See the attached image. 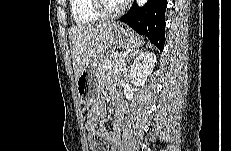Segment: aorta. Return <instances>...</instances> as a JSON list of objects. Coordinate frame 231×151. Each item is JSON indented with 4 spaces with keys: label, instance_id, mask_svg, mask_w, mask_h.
Instances as JSON below:
<instances>
[{
    "label": "aorta",
    "instance_id": "aorta-1",
    "mask_svg": "<svg viewBox=\"0 0 231 151\" xmlns=\"http://www.w3.org/2000/svg\"><path fill=\"white\" fill-rule=\"evenodd\" d=\"M147 3V0H137L138 6H144Z\"/></svg>",
    "mask_w": 231,
    "mask_h": 151
}]
</instances>
